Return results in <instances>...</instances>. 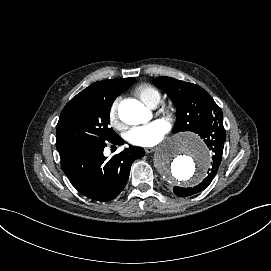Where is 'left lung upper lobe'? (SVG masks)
Listing matches in <instances>:
<instances>
[{
    "label": "left lung upper lobe",
    "instance_id": "5c2ea615",
    "mask_svg": "<svg viewBox=\"0 0 271 271\" xmlns=\"http://www.w3.org/2000/svg\"><path fill=\"white\" fill-rule=\"evenodd\" d=\"M155 84L170 96L177 108L174 133L199 134L223 119L221 108L200 86L166 76L158 77Z\"/></svg>",
    "mask_w": 271,
    "mask_h": 271
}]
</instances>
